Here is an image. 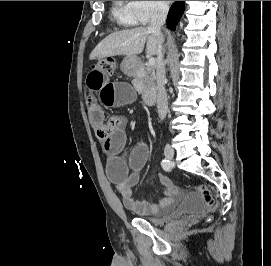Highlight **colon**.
Returning a JSON list of instances; mask_svg holds the SVG:
<instances>
[{
    "instance_id": "5ec220e1",
    "label": "colon",
    "mask_w": 271,
    "mask_h": 266,
    "mask_svg": "<svg viewBox=\"0 0 271 266\" xmlns=\"http://www.w3.org/2000/svg\"><path fill=\"white\" fill-rule=\"evenodd\" d=\"M95 67L103 70L107 74H113L116 70V63L112 58H105L99 60ZM196 191L203 198L208 208L213 209L215 207V199L205 185H198Z\"/></svg>"
}]
</instances>
